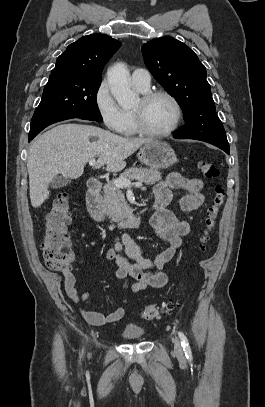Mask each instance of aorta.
Listing matches in <instances>:
<instances>
[{
  "mask_svg": "<svg viewBox=\"0 0 265 407\" xmlns=\"http://www.w3.org/2000/svg\"><path fill=\"white\" fill-rule=\"evenodd\" d=\"M111 93L121 107H131L138 95L130 88V74L124 63H116L107 71Z\"/></svg>",
  "mask_w": 265,
  "mask_h": 407,
  "instance_id": "762f6f07",
  "label": "aorta"
}]
</instances>
